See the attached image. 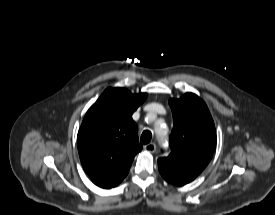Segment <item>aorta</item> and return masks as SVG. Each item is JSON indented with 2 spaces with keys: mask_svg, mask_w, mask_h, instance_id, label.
<instances>
[{
  "mask_svg": "<svg viewBox=\"0 0 275 215\" xmlns=\"http://www.w3.org/2000/svg\"><path fill=\"white\" fill-rule=\"evenodd\" d=\"M161 132H162V131H161L160 129H157L158 135H160ZM160 136H161V135H160Z\"/></svg>",
  "mask_w": 275,
  "mask_h": 215,
  "instance_id": "1",
  "label": "aorta"
}]
</instances>
